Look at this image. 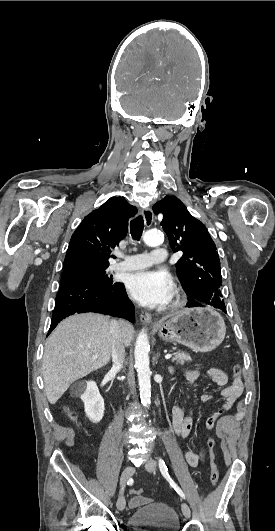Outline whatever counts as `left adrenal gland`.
I'll return each mask as SVG.
<instances>
[{"label": "left adrenal gland", "instance_id": "1", "mask_svg": "<svg viewBox=\"0 0 275 531\" xmlns=\"http://www.w3.org/2000/svg\"><path fill=\"white\" fill-rule=\"evenodd\" d=\"M157 359H158V357H157ZM157 359H156V361H155L154 365H157V363H158Z\"/></svg>", "mask_w": 275, "mask_h": 531}]
</instances>
